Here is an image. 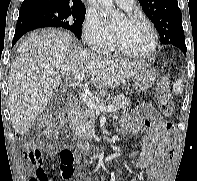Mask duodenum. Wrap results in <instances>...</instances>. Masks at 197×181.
Masks as SVG:
<instances>
[{
	"mask_svg": "<svg viewBox=\"0 0 197 181\" xmlns=\"http://www.w3.org/2000/svg\"><path fill=\"white\" fill-rule=\"evenodd\" d=\"M78 109V105L76 103H72L69 107H68V114L69 115H73L76 113Z\"/></svg>",
	"mask_w": 197,
	"mask_h": 181,
	"instance_id": "obj_1",
	"label": "duodenum"
}]
</instances>
